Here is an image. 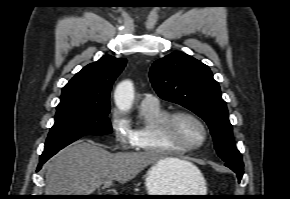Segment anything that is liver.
Listing matches in <instances>:
<instances>
[{
	"instance_id": "1",
	"label": "liver",
	"mask_w": 290,
	"mask_h": 199,
	"mask_svg": "<svg viewBox=\"0 0 290 199\" xmlns=\"http://www.w3.org/2000/svg\"><path fill=\"white\" fill-rule=\"evenodd\" d=\"M172 172H200L192 163L151 152L110 153L94 141L78 140L45 164L46 195H91L107 180L126 183L150 164Z\"/></svg>"
}]
</instances>
